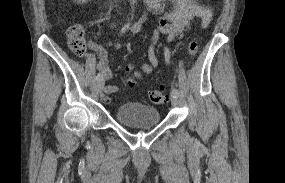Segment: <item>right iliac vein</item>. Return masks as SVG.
<instances>
[{
	"label": "right iliac vein",
	"mask_w": 285,
	"mask_h": 183,
	"mask_svg": "<svg viewBox=\"0 0 285 183\" xmlns=\"http://www.w3.org/2000/svg\"><path fill=\"white\" fill-rule=\"evenodd\" d=\"M96 87H97L98 92H101L103 87H104V80L101 79V80L97 81Z\"/></svg>",
	"instance_id": "obj_1"
}]
</instances>
